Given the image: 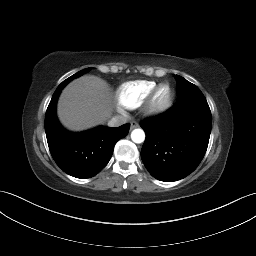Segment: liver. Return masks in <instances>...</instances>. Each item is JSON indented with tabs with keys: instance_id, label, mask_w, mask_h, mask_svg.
Segmentation results:
<instances>
[{
	"instance_id": "1",
	"label": "liver",
	"mask_w": 256,
	"mask_h": 256,
	"mask_svg": "<svg viewBox=\"0 0 256 256\" xmlns=\"http://www.w3.org/2000/svg\"><path fill=\"white\" fill-rule=\"evenodd\" d=\"M112 112V94L103 79L85 75L70 82L62 91L57 113L69 130L81 131L104 123Z\"/></svg>"
}]
</instances>
